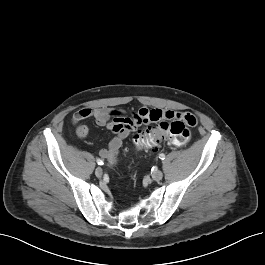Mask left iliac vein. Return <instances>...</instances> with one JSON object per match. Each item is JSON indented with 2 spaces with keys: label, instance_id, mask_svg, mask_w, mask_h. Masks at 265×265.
I'll return each instance as SVG.
<instances>
[{
  "label": "left iliac vein",
  "instance_id": "1",
  "mask_svg": "<svg viewBox=\"0 0 265 265\" xmlns=\"http://www.w3.org/2000/svg\"><path fill=\"white\" fill-rule=\"evenodd\" d=\"M162 177H163V173H162V171H160V170H156V171L153 172V174H152V178H153V180H155V181H159V180H161Z\"/></svg>",
  "mask_w": 265,
  "mask_h": 265
}]
</instances>
